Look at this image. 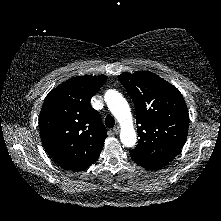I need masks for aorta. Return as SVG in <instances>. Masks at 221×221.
<instances>
[{"label":"aorta","mask_w":221,"mask_h":221,"mask_svg":"<svg viewBox=\"0 0 221 221\" xmlns=\"http://www.w3.org/2000/svg\"><path fill=\"white\" fill-rule=\"evenodd\" d=\"M104 98L109 110L121 126L120 139L122 144L126 147H133L137 137L133 127L131 110L127 101L116 90H108Z\"/></svg>","instance_id":"762f6f07"}]
</instances>
